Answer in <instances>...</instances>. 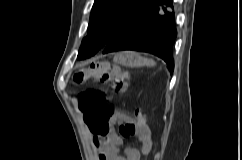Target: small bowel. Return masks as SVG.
<instances>
[{"mask_svg":"<svg viewBox=\"0 0 242 160\" xmlns=\"http://www.w3.org/2000/svg\"><path fill=\"white\" fill-rule=\"evenodd\" d=\"M113 117V122L119 125L118 132L109 126L104 135L94 134L93 144L98 151V160H140L142 155L148 154L152 140L146 121L142 117L134 119L119 111L115 112ZM132 127L135 131L130 138L136 139L140 147L126 146L121 150L123 138H126L125 134H128V130ZM124 128L127 132L123 131Z\"/></svg>","mask_w":242,"mask_h":160,"instance_id":"c3829d8e","label":"small bowel"}]
</instances>
